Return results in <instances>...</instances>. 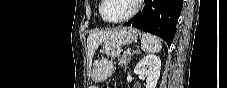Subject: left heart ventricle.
<instances>
[{"label":"left heart ventricle","mask_w":227,"mask_h":88,"mask_svg":"<svg viewBox=\"0 0 227 88\" xmlns=\"http://www.w3.org/2000/svg\"><path fill=\"white\" fill-rule=\"evenodd\" d=\"M133 7V0H107L103 13L107 19L115 20L126 16Z\"/></svg>","instance_id":"b2bd125f"}]
</instances>
